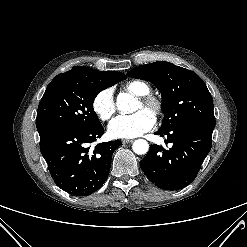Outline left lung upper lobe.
<instances>
[{"label": "left lung upper lobe", "mask_w": 247, "mask_h": 247, "mask_svg": "<svg viewBox=\"0 0 247 247\" xmlns=\"http://www.w3.org/2000/svg\"><path fill=\"white\" fill-rule=\"evenodd\" d=\"M128 76L150 81L161 92L164 114L161 130L192 124L213 131V100L196 73L160 61L136 67L128 72Z\"/></svg>", "instance_id": "obj_1"}]
</instances>
